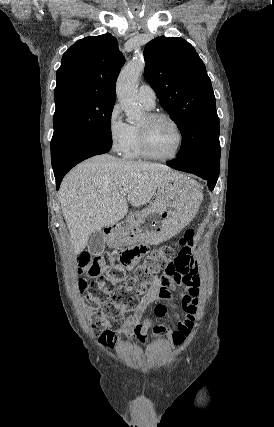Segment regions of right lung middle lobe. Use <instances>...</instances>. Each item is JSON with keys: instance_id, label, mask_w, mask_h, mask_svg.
Returning <instances> with one entry per match:
<instances>
[{"instance_id": "dd1d6c3e", "label": "right lung middle lobe", "mask_w": 274, "mask_h": 427, "mask_svg": "<svg viewBox=\"0 0 274 427\" xmlns=\"http://www.w3.org/2000/svg\"><path fill=\"white\" fill-rule=\"evenodd\" d=\"M115 99V96H88L56 104L51 140L52 166L85 143L111 141Z\"/></svg>"}]
</instances>
